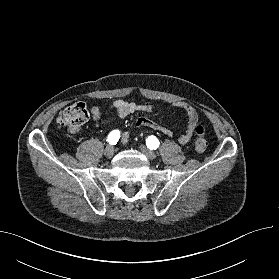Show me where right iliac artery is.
Instances as JSON below:
<instances>
[{"label": "right iliac artery", "mask_w": 279, "mask_h": 279, "mask_svg": "<svg viewBox=\"0 0 279 279\" xmlns=\"http://www.w3.org/2000/svg\"><path fill=\"white\" fill-rule=\"evenodd\" d=\"M120 138V132L119 130H113L112 132H110V134L108 135L107 141L112 144L115 145L118 140Z\"/></svg>", "instance_id": "right-iliac-artery-1"}]
</instances>
